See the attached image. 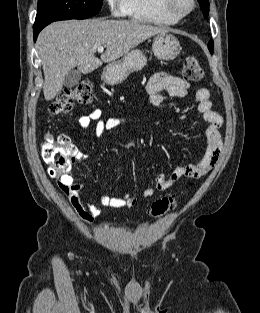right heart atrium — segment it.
Returning <instances> with one entry per match:
<instances>
[{
	"label": "right heart atrium",
	"mask_w": 260,
	"mask_h": 313,
	"mask_svg": "<svg viewBox=\"0 0 260 313\" xmlns=\"http://www.w3.org/2000/svg\"><path fill=\"white\" fill-rule=\"evenodd\" d=\"M113 16H122L125 14V0H105Z\"/></svg>",
	"instance_id": "right-heart-atrium-1"
}]
</instances>
